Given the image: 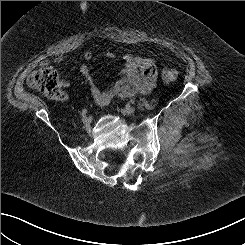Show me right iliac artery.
I'll return each mask as SVG.
<instances>
[{
	"label": "right iliac artery",
	"instance_id": "obj_1",
	"mask_svg": "<svg viewBox=\"0 0 245 245\" xmlns=\"http://www.w3.org/2000/svg\"><path fill=\"white\" fill-rule=\"evenodd\" d=\"M87 113H88L87 109L84 108V109L82 110L81 116L84 117V116H86Z\"/></svg>",
	"mask_w": 245,
	"mask_h": 245
}]
</instances>
